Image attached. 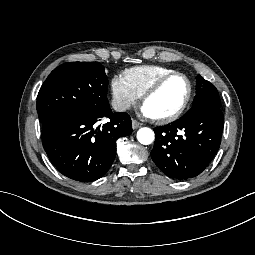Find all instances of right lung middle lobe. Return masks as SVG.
<instances>
[{"label": "right lung middle lobe", "instance_id": "1", "mask_svg": "<svg viewBox=\"0 0 255 255\" xmlns=\"http://www.w3.org/2000/svg\"><path fill=\"white\" fill-rule=\"evenodd\" d=\"M108 79L99 62H70L55 68L41 86L37 112L42 123L48 118L75 110L102 117L109 110Z\"/></svg>", "mask_w": 255, "mask_h": 255}]
</instances>
